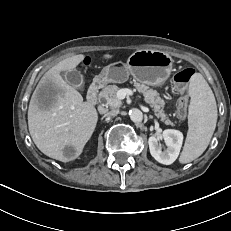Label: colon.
<instances>
[{
  "mask_svg": "<svg viewBox=\"0 0 231 231\" xmlns=\"http://www.w3.org/2000/svg\"><path fill=\"white\" fill-rule=\"evenodd\" d=\"M194 73L195 71L192 68H184L178 71L173 77L175 87L181 92V97L179 98L177 105V114L181 119L186 116L188 96L185 91Z\"/></svg>",
  "mask_w": 231,
  "mask_h": 231,
  "instance_id": "5ec220e1",
  "label": "colon"
}]
</instances>
